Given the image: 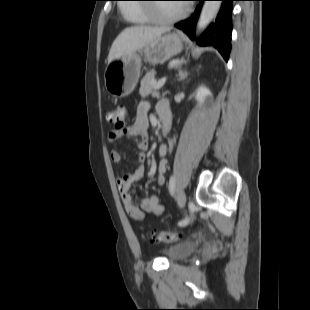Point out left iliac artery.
Segmentation results:
<instances>
[{"label": "left iliac artery", "mask_w": 310, "mask_h": 310, "mask_svg": "<svg viewBox=\"0 0 310 310\" xmlns=\"http://www.w3.org/2000/svg\"><path fill=\"white\" fill-rule=\"evenodd\" d=\"M174 190H175V177L171 176L169 180V192L172 196H174ZM190 222V218L188 216H185L182 220L178 222V225L180 227L187 226Z\"/></svg>", "instance_id": "44dca946"}]
</instances>
